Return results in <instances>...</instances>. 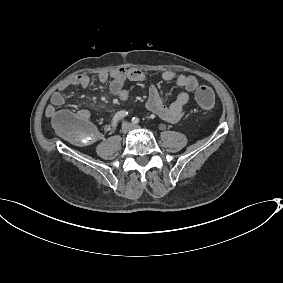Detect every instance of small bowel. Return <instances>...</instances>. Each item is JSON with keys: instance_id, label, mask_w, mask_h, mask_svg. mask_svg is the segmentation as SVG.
I'll return each mask as SVG.
<instances>
[{"instance_id": "obj_1", "label": "small bowel", "mask_w": 283, "mask_h": 283, "mask_svg": "<svg viewBox=\"0 0 283 283\" xmlns=\"http://www.w3.org/2000/svg\"><path fill=\"white\" fill-rule=\"evenodd\" d=\"M161 78L164 81L175 82L183 88V91L178 94L172 103L167 104L165 97L160 93L158 87L151 84L146 107L161 119L170 123H177L185 114V108L190 100V94L198 89V81L192 75L180 74L174 71L163 72ZM109 79L111 80L110 92L121 100H127L129 97V93L125 88L127 81L144 82L148 80L146 74L136 68H120L110 73L103 72L98 75V80L101 83H106ZM90 82V77L86 74H78L63 81L59 85V90L51 96L50 104L46 108V116L54 119L58 113L57 109L65 103L64 92L69 87L79 86L86 88L90 85ZM77 115L85 119L89 118V112L87 110H80Z\"/></svg>"}]
</instances>
